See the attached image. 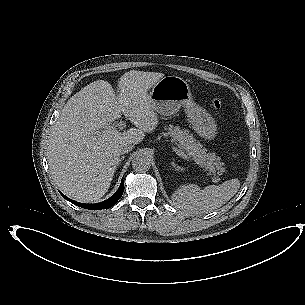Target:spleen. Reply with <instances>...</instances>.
Instances as JSON below:
<instances>
[{"instance_id":"spleen-1","label":"spleen","mask_w":305,"mask_h":305,"mask_svg":"<svg viewBox=\"0 0 305 305\" xmlns=\"http://www.w3.org/2000/svg\"><path fill=\"white\" fill-rule=\"evenodd\" d=\"M234 180L221 185H209L200 189L195 184L183 185L172 194V200L178 208L192 214H205L227 203L231 198L229 186Z\"/></svg>"}]
</instances>
